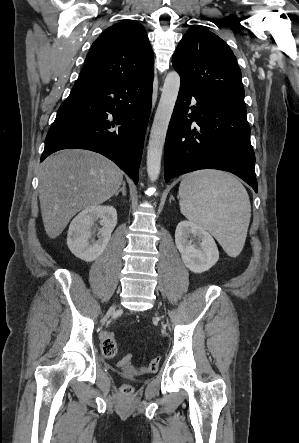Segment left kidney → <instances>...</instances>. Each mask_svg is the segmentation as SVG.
I'll return each mask as SVG.
<instances>
[{
    "mask_svg": "<svg viewBox=\"0 0 299 443\" xmlns=\"http://www.w3.org/2000/svg\"><path fill=\"white\" fill-rule=\"evenodd\" d=\"M175 243L185 266L194 273L209 270L219 259L213 237L201 226L190 221L180 222L175 231Z\"/></svg>",
    "mask_w": 299,
    "mask_h": 443,
    "instance_id": "obj_1",
    "label": "left kidney"
}]
</instances>
